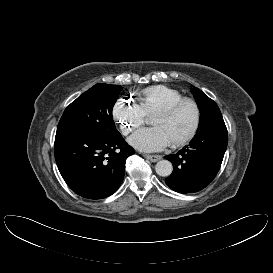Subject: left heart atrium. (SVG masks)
<instances>
[{"instance_id": "1", "label": "left heart atrium", "mask_w": 273, "mask_h": 273, "mask_svg": "<svg viewBox=\"0 0 273 273\" xmlns=\"http://www.w3.org/2000/svg\"><path fill=\"white\" fill-rule=\"evenodd\" d=\"M129 142L133 147L143 152L159 151L171 144L164 133L155 126L136 132Z\"/></svg>"}]
</instances>
